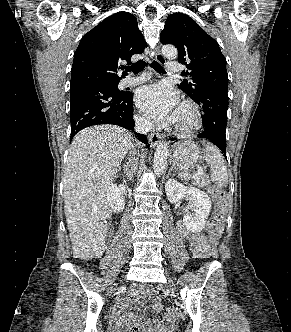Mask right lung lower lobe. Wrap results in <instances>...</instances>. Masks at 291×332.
<instances>
[{
  "label": "right lung lower lobe",
  "mask_w": 291,
  "mask_h": 332,
  "mask_svg": "<svg viewBox=\"0 0 291 332\" xmlns=\"http://www.w3.org/2000/svg\"><path fill=\"white\" fill-rule=\"evenodd\" d=\"M132 98L131 92H117L114 86L105 82L70 89V139L80 130L99 124H113L134 131ZM134 133L141 142L148 143L145 135Z\"/></svg>",
  "instance_id": "98d812e1"
}]
</instances>
